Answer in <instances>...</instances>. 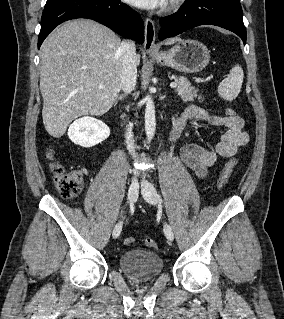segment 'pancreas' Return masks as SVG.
<instances>
[{
	"label": "pancreas",
	"mask_w": 284,
	"mask_h": 319,
	"mask_svg": "<svg viewBox=\"0 0 284 319\" xmlns=\"http://www.w3.org/2000/svg\"><path fill=\"white\" fill-rule=\"evenodd\" d=\"M175 81L177 83L176 92L184 102L193 101L194 98L197 97L199 100H203V98L198 95V89L192 87L187 78L179 76Z\"/></svg>",
	"instance_id": "cf45deb5"
}]
</instances>
